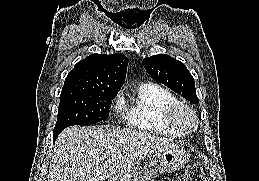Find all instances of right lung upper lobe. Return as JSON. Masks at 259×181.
<instances>
[{
  "instance_id": "obj_1",
  "label": "right lung upper lobe",
  "mask_w": 259,
  "mask_h": 181,
  "mask_svg": "<svg viewBox=\"0 0 259 181\" xmlns=\"http://www.w3.org/2000/svg\"><path fill=\"white\" fill-rule=\"evenodd\" d=\"M126 70L127 58L121 53L92 54L69 72L62 90L117 94L125 81Z\"/></svg>"
}]
</instances>
